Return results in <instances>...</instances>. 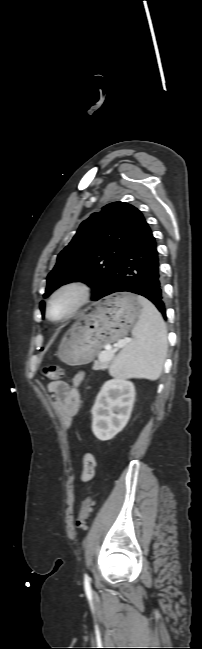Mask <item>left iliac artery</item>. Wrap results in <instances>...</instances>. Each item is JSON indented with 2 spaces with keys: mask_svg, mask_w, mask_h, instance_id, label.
<instances>
[{
  "mask_svg": "<svg viewBox=\"0 0 202 649\" xmlns=\"http://www.w3.org/2000/svg\"><path fill=\"white\" fill-rule=\"evenodd\" d=\"M84 586H85V590H86V591L89 592V591L91 590V587H90V579H89L88 575H85V576H84Z\"/></svg>",
  "mask_w": 202,
  "mask_h": 649,
  "instance_id": "left-iliac-artery-1",
  "label": "left iliac artery"
}]
</instances>
